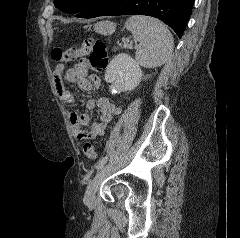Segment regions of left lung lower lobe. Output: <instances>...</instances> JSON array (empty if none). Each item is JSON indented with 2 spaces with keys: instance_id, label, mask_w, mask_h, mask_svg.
<instances>
[{
  "instance_id": "0a47b994",
  "label": "left lung lower lobe",
  "mask_w": 240,
  "mask_h": 238,
  "mask_svg": "<svg viewBox=\"0 0 240 238\" xmlns=\"http://www.w3.org/2000/svg\"><path fill=\"white\" fill-rule=\"evenodd\" d=\"M194 0H92L79 18L117 15H147L169 25L181 38L192 13Z\"/></svg>"
}]
</instances>
